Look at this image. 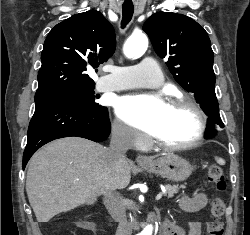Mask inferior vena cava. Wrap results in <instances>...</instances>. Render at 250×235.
I'll list each match as a JSON object with an SVG mask.
<instances>
[{
  "mask_svg": "<svg viewBox=\"0 0 250 235\" xmlns=\"http://www.w3.org/2000/svg\"><path fill=\"white\" fill-rule=\"evenodd\" d=\"M131 130L122 125L114 124L109 148L104 151V161L113 168L124 160L125 153L131 146ZM105 206L111 216L119 222L116 235H132V225L127 221L125 209L118 206L113 197H107Z\"/></svg>",
  "mask_w": 250,
  "mask_h": 235,
  "instance_id": "obj_1",
  "label": "inferior vena cava"
}]
</instances>
